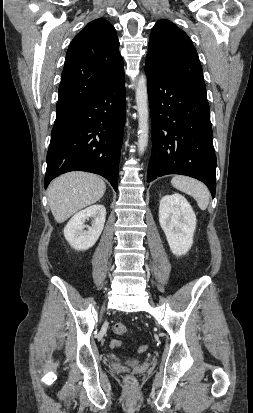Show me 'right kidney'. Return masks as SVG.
Wrapping results in <instances>:
<instances>
[{"instance_id":"ca27d5eb","label":"right kidney","mask_w":253,"mask_h":413,"mask_svg":"<svg viewBox=\"0 0 253 413\" xmlns=\"http://www.w3.org/2000/svg\"><path fill=\"white\" fill-rule=\"evenodd\" d=\"M93 218L92 225L85 220ZM106 219V209L103 205H93L76 213L64 228V236L69 244L79 251L91 248L100 237ZM87 228V230H85Z\"/></svg>"}]
</instances>
